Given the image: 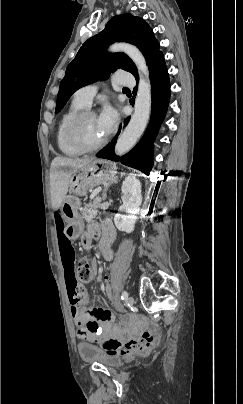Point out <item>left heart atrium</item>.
Returning <instances> with one entry per match:
<instances>
[{
  "mask_svg": "<svg viewBox=\"0 0 243 404\" xmlns=\"http://www.w3.org/2000/svg\"><path fill=\"white\" fill-rule=\"evenodd\" d=\"M97 120L101 134L103 137H107L116 128L117 113L110 105H105L101 113L97 116Z\"/></svg>",
  "mask_w": 243,
  "mask_h": 404,
  "instance_id": "1",
  "label": "left heart atrium"
}]
</instances>
